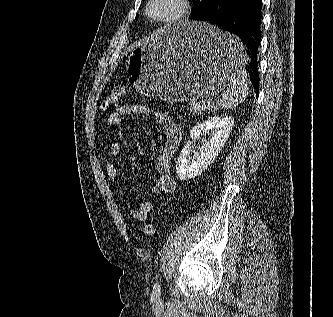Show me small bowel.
Segmentation results:
<instances>
[{
	"label": "small bowel",
	"instance_id": "1",
	"mask_svg": "<svg viewBox=\"0 0 333 317\" xmlns=\"http://www.w3.org/2000/svg\"><path fill=\"white\" fill-rule=\"evenodd\" d=\"M135 114L152 116L165 132L162 151L154 161L157 178L152 186V193L154 195L173 193L176 190L177 184L175 178L170 173V163L181 142L182 128L167 114L139 104L119 105L106 117L105 121L109 126H118L122 123L125 116ZM109 152L113 157H120L122 148L118 143H113L110 145ZM104 168L109 179L118 185L119 173L115 165L111 162H106ZM154 207V200L144 201L137 208L130 210V216L134 220L143 223L147 220L149 213Z\"/></svg>",
	"mask_w": 333,
	"mask_h": 317
}]
</instances>
